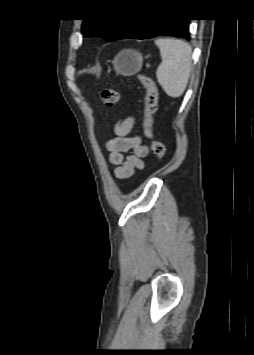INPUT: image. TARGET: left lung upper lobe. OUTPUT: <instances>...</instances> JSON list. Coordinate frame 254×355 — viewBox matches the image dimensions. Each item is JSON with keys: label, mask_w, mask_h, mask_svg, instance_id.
Instances as JSON below:
<instances>
[{"label": "left lung upper lobe", "mask_w": 254, "mask_h": 355, "mask_svg": "<svg viewBox=\"0 0 254 355\" xmlns=\"http://www.w3.org/2000/svg\"><path fill=\"white\" fill-rule=\"evenodd\" d=\"M130 20V18L84 20L82 33L88 37L100 36L107 41H113L123 33Z\"/></svg>", "instance_id": "5c2ea615"}]
</instances>
